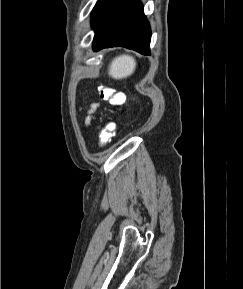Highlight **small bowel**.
Wrapping results in <instances>:
<instances>
[{
    "mask_svg": "<svg viewBox=\"0 0 243 289\" xmlns=\"http://www.w3.org/2000/svg\"><path fill=\"white\" fill-rule=\"evenodd\" d=\"M98 106H99V105H98L97 103L93 104V105L91 106V112L95 111V110L98 108ZM90 120H91V117H88V118L86 119V124H89Z\"/></svg>",
    "mask_w": 243,
    "mask_h": 289,
    "instance_id": "1",
    "label": "small bowel"
}]
</instances>
